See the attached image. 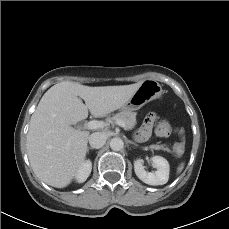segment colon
I'll use <instances>...</instances> for the list:
<instances>
[{
    "label": "colon",
    "mask_w": 229,
    "mask_h": 229,
    "mask_svg": "<svg viewBox=\"0 0 229 229\" xmlns=\"http://www.w3.org/2000/svg\"><path fill=\"white\" fill-rule=\"evenodd\" d=\"M149 116H151V115H149ZM173 131L174 130H173L172 126L167 121H161V122H159L156 125V128H155L156 135L157 136H160V137H167V136L171 135L173 133ZM178 133L180 134V138H181L180 144L181 145L178 146L175 149V153L179 155L182 152L183 130H179Z\"/></svg>",
    "instance_id": "1"
}]
</instances>
